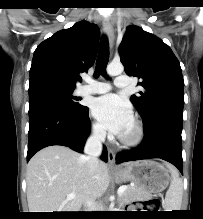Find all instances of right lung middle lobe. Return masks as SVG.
<instances>
[{"instance_id":"dd1d6c3e","label":"right lung middle lobe","mask_w":203,"mask_h":219,"mask_svg":"<svg viewBox=\"0 0 203 219\" xmlns=\"http://www.w3.org/2000/svg\"><path fill=\"white\" fill-rule=\"evenodd\" d=\"M75 87L64 85L52 80H39L29 83V103L48 101L58 103L68 110L79 111L85 106L80 105L78 98L72 95Z\"/></svg>"}]
</instances>
